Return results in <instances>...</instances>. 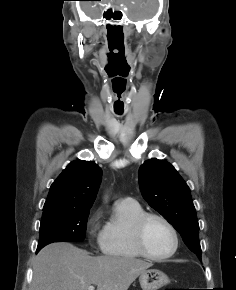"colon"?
Here are the masks:
<instances>
[{
	"label": "colon",
	"mask_w": 236,
	"mask_h": 290,
	"mask_svg": "<svg viewBox=\"0 0 236 290\" xmlns=\"http://www.w3.org/2000/svg\"><path fill=\"white\" fill-rule=\"evenodd\" d=\"M164 290H177V289H169V288H166V289H164Z\"/></svg>",
	"instance_id": "obj_1"
}]
</instances>
